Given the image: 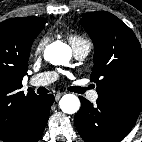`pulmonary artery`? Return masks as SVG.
I'll list each match as a JSON object with an SVG mask.
<instances>
[{
	"instance_id": "e3ab8cb5",
	"label": "pulmonary artery",
	"mask_w": 142,
	"mask_h": 142,
	"mask_svg": "<svg viewBox=\"0 0 142 142\" xmlns=\"http://www.w3.org/2000/svg\"><path fill=\"white\" fill-rule=\"evenodd\" d=\"M72 48H73L74 56L78 60L84 59L90 52V47L88 46H77ZM55 79H56V73L54 72L39 73L30 79V84L33 86H38V87L47 86L50 83H52ZM89 98L92 101L97 100L98 98L97 92L95 91L91 92L89 95Z\"/></svg>"
}]
</instances>
